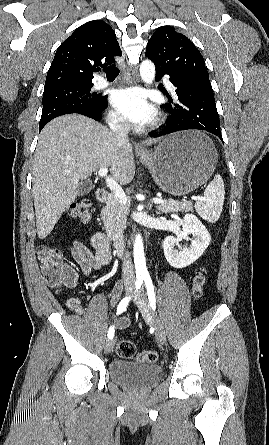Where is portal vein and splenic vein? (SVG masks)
Masks as SVG:
<instances>
[{
  "instance_id": "obj_1",
  "label": "portal vein and splenic vein",
  "mask_w": 269,
  "mask_h": 445,
  "mask_svg": "<svg viewBox=\"0 0 269 445\" xmlns=\"http://www.w3.org/2000/svg\"><path fill=\"white\" fill-rule=\"evenodd\" d=\"M107 173H108V168H106V167L100 168L98 171L99 176L102 178H105V182H106L107 186L110 188V190L112 191V194L115 196V198L117 200H119V202L121 204L126 205L128 203L126 194L124 193L121 186L113 178H110L107 176ZM192 199L193 200H201L202 197L192 196ZM153 202L155 204H163L165 201L160 198H154Z\"/></svg>"
}]
</instances>
